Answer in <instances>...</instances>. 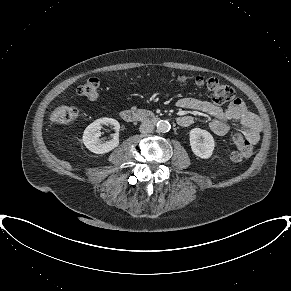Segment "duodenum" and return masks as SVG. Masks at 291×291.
Instances as JSON below:
<instances>
[{
	"label": "duodenum",
	"instance_id": "duodenum-1",
	"mask_svg": "<svg viewBox=\"0 0 291 291\" xmlns=\"http://www.w3.org/2000/svg\"><path fill=\"white\" fill-rule=\"evenodd\" d=\"M121 118L126 122H156L158 117L150 111L142 109H127L121 112Z\"/></svg>",
	"mask_w": 291,
	"mask_h": 291
}]
</instances>
